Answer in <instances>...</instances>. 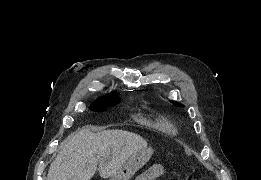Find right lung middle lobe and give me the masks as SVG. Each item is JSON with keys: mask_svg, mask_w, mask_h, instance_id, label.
<instances>
[{"mask_svg": "<svg viewBox=\"0 0 261 180\" xmlns=\"http://www.w3.org/2000/svg\"><path fill=\"white\" fill-rule=\"evenodd\" d=\"M117 103H119V98L99 99L91 105L90 110L102 111V110H105L109 106L116 105Z\"/></svg>", "mask_w": 261, "mask_h": 180, "instance_id": "1", "label": "right lung middle lobe"}]
</instances>
